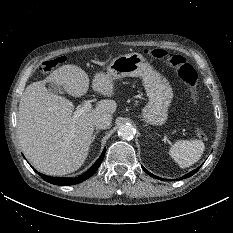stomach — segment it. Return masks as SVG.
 Wrapping results in <instances>:
<instances>
[{"label":"stomach","mask_w":233,"mask_h":233,"mask_svg":"<svg viewBox=\"0 0 233 233\" xmlns=\"http://www.w3.org/2000/svg\"><path fill=\"white\" fill-rule=\"evenodd\" d=\"M113 80L123 77H141L148 97L142 109V119L150 125L160 126L168 117L173 90L168 80L148 63L140 53H128L114 58L107 68Z\"/></svg>","instance_id":"1"}]
</instances>
